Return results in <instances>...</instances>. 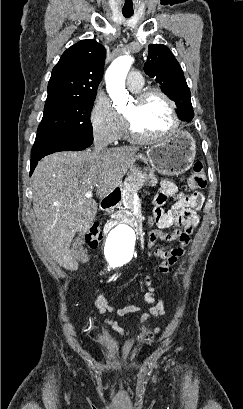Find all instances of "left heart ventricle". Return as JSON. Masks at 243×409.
Listing matches in <instances>:
<instances>
[{
	"label": "left heart ventricle",
	"mask_w": 243,
	"mask_h": 409,
	"mask_svg": "<svg viewBox=\"0 0 243 409\" xmlns=\"http://www.w3.org/2000/svg\"><path fill=\"white\" fill-rule=\"evenodd\" d=\"M124 115L131 118L136 129L146 135L160 134L171 125L168 105L156 95L149 97L141 105L132 101Z\"/></svg>",
	"instance_id": "b2bd125f"
}]
</instances>
